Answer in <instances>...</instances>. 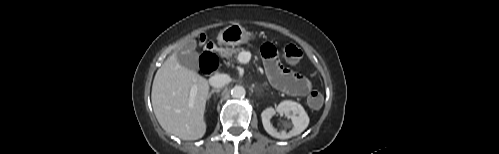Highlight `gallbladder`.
I'll return each mask as SVG.
<instances>
[{
	"label": "gallbladder",
	"instance_id": "bac80fb5",
	"mask_svg": "<svg viewBox=\"0 0 499 154\" xmlns=\"http://www.w3.org/2000/svg\"><path fill=\"white\" fill-rule=\"evenodd\" d=\"M196 46V41L189 39L185 43L184 49L177 54L180 65L195 71L199 69V54L195 51Z\"/></svg>",
	"mask_w": 499,
	"mask_h": 154
}]
</instances>
